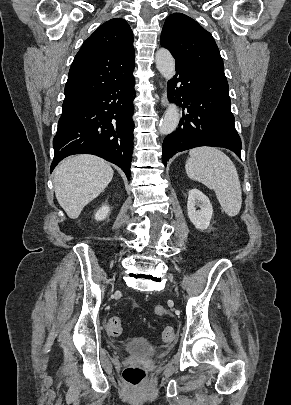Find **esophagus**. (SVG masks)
<instances>
[{"label":"esophagus","mask_w":291,"mask_h":405,"mask_svg":"<svg viewBox=\"0 0 291 405\" xmlns=\"http://www.w3.org/2000/svg\"><path fill=\"white\" fill-rule=\"evenodd\" d=\"M161 104L163 107H165L167 105V99L164 95L161 97Z\"/></svg>","instance_id":"esophagus-1"}]
</instances>
